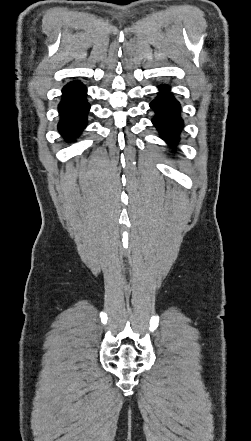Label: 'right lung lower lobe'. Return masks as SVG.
I'll return each instance as SVG.
<instances>
[{
	"instance_id": "right-lung-lower-lobe-1",
	"label": "right lung lower lobe",
	"mask_w": 251,
	"mask_h": 441,
	"mask_svg": "<svg viewBox=\"0 0 251 441\" xmlns=\"http://www.w3.org/2000/svg\"><path fill=\"white\" fill-rule=\"evenodd\" d=\"M86 92V87L79 81L68 83L62 90L58 130L67 141H73L87 124L90 106L86 101Z\"/></svg>"
}]
</instances>
